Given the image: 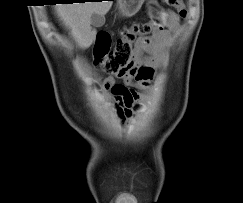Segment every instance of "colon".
<instances>
[{
	"label": "colon",
	"mask_w": 243,
	"mask_h": 203,
	"mask_svg": "<svg viewBox=\"0 0 243 203\" xmlns=\"http://www.w3.org/2000/svg\"><path fill=\"white\" fill-rule=\"evenodd\" d=\"M167 6L175 9L180 17L187 15L182 0H162ZM160 23L153 20H139L126 25L111 49V37L106 32L97 35L94 47V63L97 69L109 74H120L126 71L132 62L133 45L138 39L154 33Z\"/></svg>",
	"instance_id": "colon-1"
}]
</instances>
